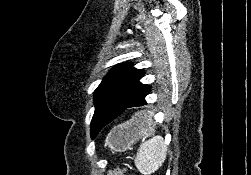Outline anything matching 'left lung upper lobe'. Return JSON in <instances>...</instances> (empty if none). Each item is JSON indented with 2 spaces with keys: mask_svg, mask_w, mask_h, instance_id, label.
<instances>
[{
  "mask_svg": "<svg viewBox=\"0 0 251 175\" xmlns=\"http://www.w3.org/2000/svg\"><path fill=\"white\" fill-rule=\"evenodd\" d=\"M145 72L133 67L132 63L115 66L94 92L95 113L91 122V138L94 139L105 124L98 119V111L104 106L127 103L134 91L141 84L139 80Z\"/></svg>",
  "mask_w": 251,
  "mask_h": 175,
  "instance_id": "obj_1",
  "label": "left lung upper lobe"
}]
</instances>
